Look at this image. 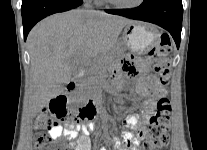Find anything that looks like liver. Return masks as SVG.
Here are the masks:
<instances>
[{
    "mask_svg": "<svg viewBox=\"0 0 207 150\" xmlns=\"http://www.w3.org/2000/svg\"><path fill=\"white\" fill-rule=\"evenodd\" d=\"M132 20L99 11L71 10L39 22L29 33L27 44L31 76L25 108L35 117L71 80V62L106 55L113 50L123 28Z\"/></svg>",
    "mask_w": 207,
    "mask_h": 150,
    "instance_id": "6515ba94",
    "label": "liver"
}]
</instances>
